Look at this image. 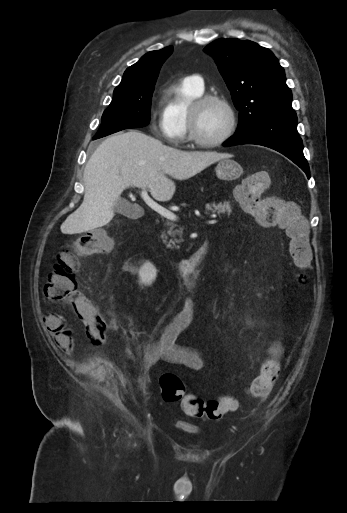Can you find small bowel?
Wrapping results in <instances>:
<instances>
[{"mask_svg": "<svg viewBox=\"0 0 347 513\" xmlns=\"http://www.w3.org/2000/svg\"><path fill=\"white\" fill-rule=\"evenodd\" d=\"M183 302L182 311L165 327L159 340L147 341L141 345L143 361L147 366L165 361L194 371L203 369L205 363L200 353L193 348L177 343L179 335L189 326L195 313L191 297L186 296ZM45 324L57 347L65 353H72L74 350L73 334L63 318L58 315H48Z\"/></svg>", "mask_w": 347, "mask_h": 513, "instance_id": "obj_1", "label": "small bowel"}]
</instances>
